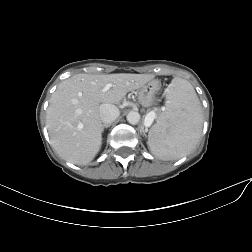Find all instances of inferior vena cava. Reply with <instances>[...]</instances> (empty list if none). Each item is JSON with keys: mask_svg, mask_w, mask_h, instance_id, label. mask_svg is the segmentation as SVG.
Wrapping results in <instances>:
<instances>
[{"mask_svg": "<svg viewBox=\"0 0 252 252\" xmlns=\"http://www.w3.org/2000/svg\"><path fill=\"white\" fill-rule=\"evenodd\" d=\"M99 111L100 119L104 124L112 123L120 115L119 109L115 105L109 103L101 104L99 107Z\"/></svg>", "mask_w": 252, "mask_h": 252, "instance_id": "602c4592", "label": "inferior vena cava"}]
</instances>
